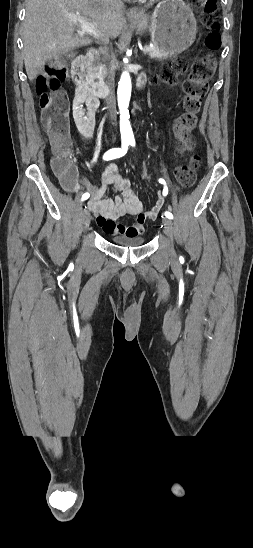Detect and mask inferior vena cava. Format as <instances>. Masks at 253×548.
Returning a JSON list of instances; mask_svg holds the SVG:
<instances>
[{
  "instance_id": "1",
  "label": "inferior vena cava",
  "mask_w": 253,
  "mask_h": 548,
  "mask_svg": "<svg viewBox=\"0 0 253 548\" xmlns=\"http://www.w3.org/2000/svg\"><path fill=\"white\" fill-rule=\"evenodd\" d=\"M118 2H119L120 4H123L121 0H118ZM102 41H103L104 43H106V44L109 43V37H108V36L104 37V38L102 39ZM107 84H108V86L111 88V86H112V79H111L110 75H108V82H107ZM105 102H106V105H107V107H108V109H109V111H110V114H107L105 117H106L107 119H110V120H111L108 124H109L110 126H113L112 128L115 130V129L117 128V127H116V124H117V123H116V120H117V119H116V116H115L116 107H115V102H114L113 96L110 95L109 97H107L106 100H105Z\"/></svg>"
}]
</instances>
